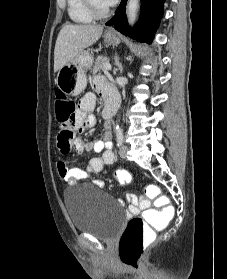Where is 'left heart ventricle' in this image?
I'll list each match as a JSON object with an SVG mask.
<instances>
[{
	"label": "left heart ventricle",
	"mask_w": 227,
	"mask_h": 279,
	"mask_svg": "<svg viewBox=\"0 0 227 279\" xmlns=\"http://www.w3.org/2000/svg\"><path fill=\"white\" fill-rule=\"evenodd\" d=\"M93 3L99 10H104L109 6L105 0H93Z\"/></svg>",
	"instance_id": "obj_1"
}]
</instances>
